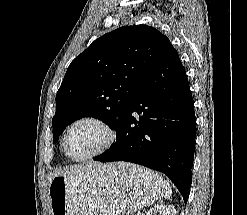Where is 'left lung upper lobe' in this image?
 Wrapping results in <instances>:
<instances>
[{
    "mask_svg": "<svg viewBox=\"0 0 247 215\" xmlns=\"http://www.w3.org/2000/svg\"><path fill=\"white\" fill-rule=\"evenodd\" d=\"M169 39L153 27H120L96 39L69 65L56 95L53 142L67 125L85 116L115 131L140 84L165 55Z\"/></svg>",
    "mask_w": 247,
    "mask_h": 215,
    "instance_id": "1",
    "label": "left lung upper lobe"
}]
</instances>
